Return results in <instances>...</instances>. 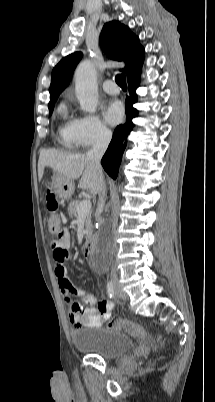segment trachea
<instances>
[{
  "mask_svg": "<svg viewBox=\"0 0 215 402\" xmlns=\"http://www.w3.org/2000/svg\"><path fill=\"white\" fill-rule=\"evenodd\" d=\"M115 81L122 89H127L126 76L124 74L116 75Z\"/></svg>",
  "mask_w": 215,
  "mask_h": 402,
  "instance_id": "3493384b",
  "label": "trachea"
}]
</instances>
